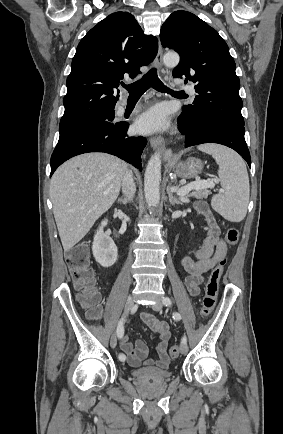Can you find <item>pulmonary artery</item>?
Here are the masks:
<instances>
[{
	"label": "pulmonary artery",
	"mask_w": 283,
	"mask_h": 434,
	"mask_svg": "<svg viewBox=\"0 0 283 434\" xmlns=\"http://www.w3.org/2000/svg\"><path fill=\"white\" fill-rule=\"evenodd\" d=\"M182 89H184V91L186 93L190 94V95H194L195 94V89L191 85H187V86L183 87ZM120 110H122V109L120 108Z\"/></svg>",
	"instance_id": "e3ab8cb5"
}]
</instances>
